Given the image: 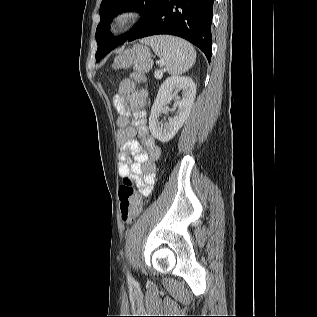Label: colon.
Instances as JSON below:
<instances>
[{
  "label": "colon",
  "mask_w": 317,
  "mask_h": 317,
  "mask_svg": "<svg viewBox=\"0 0 317 317\" xmlns=\"http://www.w3.org/2000/svg\"><path fill=\"white\" fill-rule=\"evenodd\" d=\"M130 65H133L135 69L133 78L139 81L142 79V73L149 68L150 61L145 57H137L132 62L130 54L124 53L117 56L113 63L114 69H123ZM118 196L121 218L123 222L130 223L138 217L143 208L142 199L134 190L131 178L124 177L123 184L119 187Z\"/></svg>",
  "instance_id": "colon-1"
}]
</instances>
